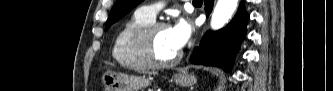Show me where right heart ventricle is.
Masks as SVG:
<instances>
[{"mask_svg": "<svg viewBox=\"0 0 333 91\" xmlns=\"http://www.w3.org/2000/svg\"><path fill=\"white\" fill-rule=\"evenodd\" d=\"M151 23H153L152 20L137 11L118 30L113 43L112 56L122 68L133 71L149 68L138 53L136 36L140 30Z\"/></svg>", "mask_w": 333, "mask_h": 91, "instance_id": "1", "label": "right heart ventricle"}]
</instances>
